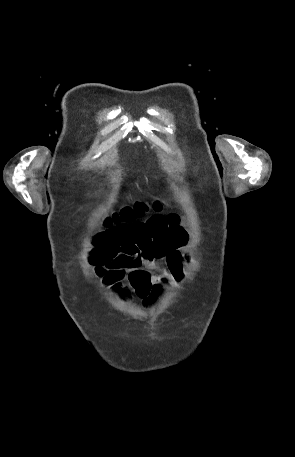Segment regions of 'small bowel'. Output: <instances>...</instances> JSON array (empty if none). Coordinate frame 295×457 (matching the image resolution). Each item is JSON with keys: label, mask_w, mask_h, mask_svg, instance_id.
Segmentation results:
<instances>
[{"label": "small bowel", "mask_w": 295, "mask_h": 457, "mask_svg": "<svg viewBox=\"0 0 295 457\" xmlns=\"http://www.w3.org/2000/svg\"><path fill=\"white\" fill-rule=\"evenodd\" d=\"M187 243V233L177 214H154L144 221L98 232L92 239L91 263L98 266L104 257L122 253L128 246L140 249V264L127 271L125 280L141 295L145 287L151 292L154 286L185 277Z\"/></svg>", "instance_id": "obj_1"}]
</instances>
